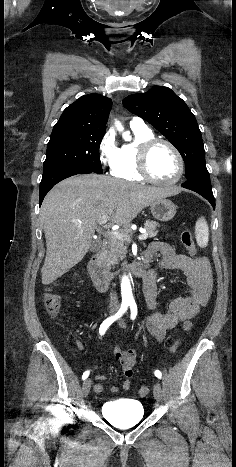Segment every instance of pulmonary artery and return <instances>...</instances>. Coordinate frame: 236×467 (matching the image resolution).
<instances>
[{"mask_svg": "<svg viewBox=\"0 0 236 467\" xmlns=\"http://www.w3.org/2000/svg\"><path fill=\"white\" fill-rule=\"evenodd\" d=\"M130 126L139 128L147 127L144 120L140 117H133L130 121Z\"/></svg>", "mask_w": 236, "mask_h": 467, "instance_id": "e3ab8cb5", "label": "pulmonary artery"}]
</instances>
